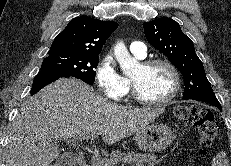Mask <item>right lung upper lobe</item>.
Returning a JSON list of instances; mask_svg holds the SVG:
<instances>
[{"mask_svg": "<svg viewBox=\"0 0 231 166\" xmlns=\"http://www.w3.org/2000/svg\"><path fill=\"white\" fill-rule=\"evenodd\" d=\"M113 21H101L90 17L72 19L56 36L49 53L74 52L99 55L106 39L117 28Z\"/></svg>", "mask_w": 231, "mask_h": 166, "instance_id": "cb5924a9", "label": "right lung upper lobe"}]
</instances>
